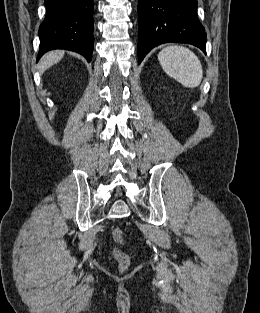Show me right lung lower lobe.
I'll return each mask as SVG.
<instances>
[{
    "label": "right lung lower lobe",
    "mask_w": 260,
    "mask_h": 313,
    "mask_svg": "<svg viewBox=\"0 0 260 313\" xmlns=\"http://www.w3.org/2000/svg\"><path fill=\"white\" fill-rule=\"evenodd\" d=\"M46 17L39 27L37 61L49 50L67 49L88 62L93 51V0H45Z\"/></svg>",
    "instance_id": "obj_1"
}]
</instances>
